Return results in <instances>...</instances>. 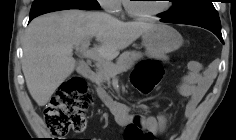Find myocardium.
Segmentation results:
<instances>
[{
	"label": "myocardium",
	"mask_w": 236,
	"mask_h": 140,
	"mask_svg": "<svg viewBox=\"0 0 236 140\" xmlns=\"http://www.w3.org/2000/svg\"><path fill=\"white\" fill-rule=\"evenodd\" d=\"M171 7V4L169 1H166L165 5L163 8L157 10V11H153V12H148V13H144V12H140L137 11L133 6H132V2L131 0H126L125 2V9L128 12V14L134 18L137 19H151L153 17H156L166 11H168Z\"/></svg>",
	"instance_id": "f54148a6"
}]
</instances>
